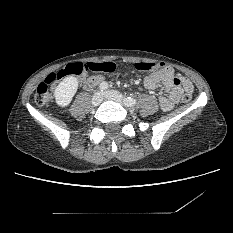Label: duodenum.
Returning <instances> with one entry per match:
<instances>
[{
  "label": "duodenum",
  "mask_w": 233,
  "mask_h": 233,
  "mask_svg": "<svg viewBox=\"0 0 233 233\" xmlns=\"http://www.w3.org/2000/svg\"><path fill=\"white\" fill-rule=\"evenodd\" d=\"M102 80L103 78L101 76L91 77L84 82V87L86 89H90L94 87L95 85H97L98 83L102 82Z\"/></svg>",
  "instance_id": "410a0bca"
}]
</instances>
